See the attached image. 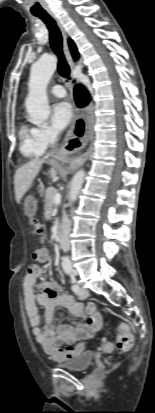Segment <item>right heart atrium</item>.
<instances>
[{"instance_id": "right-heart-atrium-1", "label": "right heart atrium", "mask_w": 155, "mask_h": 413, "mask_svg": "<svg viewBox=\"0 0 155 413\" xmlns=\"http://www.w3.org/2000/svg\"><path fill=\"white\" fill-rule=\"evenodd\" d=\"M34 135L39 147L43 151L54 145L58 139V133L49 125L34 128Z\"/></svg>"}]
</instances>
